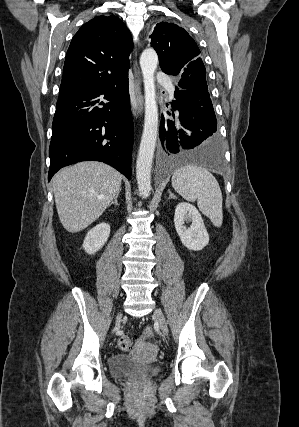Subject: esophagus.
<instances>
[{
  "mask_svg": "<svg viewBox=\"0 0 299 427\" xmlns=\"http://www.w3.org/2000/svg\"><path fill=\"white\" fill-rule=\"evenodd\" d=\"M135 64H137L135 62ZM135 96H136V103L137 106L132 107L133 115L137 118L143 110V95L141 90V78H140V72L135 68Z\"/></svg>",
  "mask_w": 299,
  "mask_h": 427,
  "instance_id": "obj_1",
  "label": "esophagus"
}]
</instances>
